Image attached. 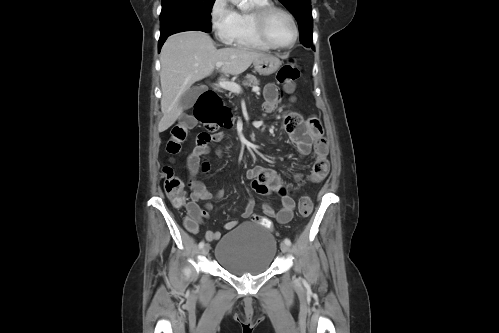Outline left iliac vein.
<instances>
[{"instance_id":"4c4485c4","label":"left iliac vein","mask_w":499,"mask_h":333,"mask_svg":"<svg viewBox=\"0 0 499 333\" xmlns=\"http://www.w3.org/2000/svg\"><path fill=\"white\" fill-rule=\"evenodd\" d=\"M280 248L283 253H288L290 250L289 245H287L285 242H282L280 244Z\"/></svg>"}]
</instances>
